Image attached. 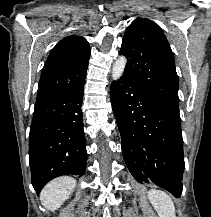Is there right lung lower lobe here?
<instances>
[{
  "label": "right lung lower lobe",
  "mask_w": 211,
  "mask_h": 217,
  "mask_svg": "<svg viewBox=\"0 0 211 217\" xmlns=\"http://www.w3.org/2000/svg\"><path fill=\"white\" fill-rule=\"evenodd\" d=\"M85 75L68 90L36 103L29 135V163L37 194L53 178L82 176L86 168L82 99Z\"/></svg>",
  "instance_id": "98d812e1"
}]
</instances>
